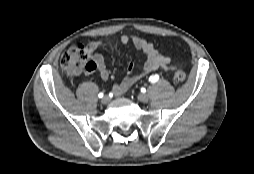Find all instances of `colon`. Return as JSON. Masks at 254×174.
Instances as JSON below:
<instances>
[{
    "label": "colon",
    "instance_id": "colon-1",
    "mask_svg": "<svg viewBox=\"0 0 254 174\" xmlns=\"http://www.w3.org/2000/svg\"><path fill=\"white\" fill-rule=\"evenodd\" d=\"M62 68L70 75H79L91 72L94 64L88 58L86 47L81 43L72 44L61 56ZM176 84H183L186 80V74L182 70L174 72L173 76Z\"/></svg>",
    "mask_w": 254,
    "mask_h": 174
}]
</instances>
